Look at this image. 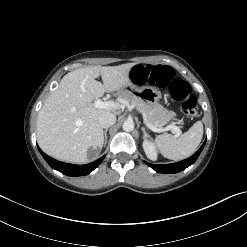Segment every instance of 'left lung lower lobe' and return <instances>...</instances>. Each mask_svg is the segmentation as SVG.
Segmentation results:
<instances>
[{
	"label": "left lung lower lobe",
	"instance_id": "0a47b994",
	"mask_svg": "<svg viewBox=\"0 0 247 247\" xmlns=\"http://www.w3.org/2000/svg\"><path fill=\"white\" fill-rule=\"evenodd\" d=\"M205 143H206V140L195 154H193L191 157L185 160L172 163V164H164V165L150 164L147 162L145 163L158 173H167V174L178 173L180 171H183L184 169H186L187 167H189L196 161L201 151L203 150Z\"/></svg>",
	"mask_w": 247,
	"mask_h": 247
}]
</instances>
